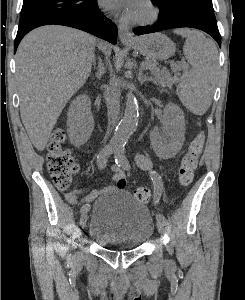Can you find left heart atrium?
Wrapping results in <instances>:
<instances>
[{"label":"left heart atrium","mask_w":245,"mask_h":300,"mask_svg":"<svg viewBox=\"0 0 245 300\" xmlns=\"http://www.w3.org/2000/svg\"><path fill=\"white\" fill-rule=\"evenodd\" d=\"M142 0H100L106 9L122 10L126 17L131 18L136 7Z\"/></svg>","instance_id":"1"}]
</instances>
